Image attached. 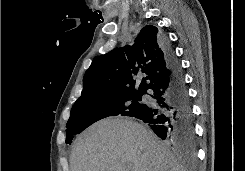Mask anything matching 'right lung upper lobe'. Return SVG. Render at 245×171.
<instances>
[{"instance_id": "cb5924a9", "label": "right lung upper lobe", "mask_w": 245, "mask_h": 171, "mask_svg": "<svg viewBox=\"0 0 245 171\" xmlns=\"http://www.w3.org/2000/svg\"><path fill=\"white\" fill-rule=\"evenodd\" d=\"M134 42L132 46L115 48L93 59L83 77L84 88L77 101L143 94L169 74L161 37L155 26L143 27ZM138 74L147 76L142 78L136 90Z\"/></svg>"}]
</instances>
